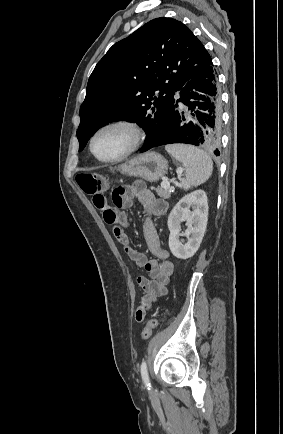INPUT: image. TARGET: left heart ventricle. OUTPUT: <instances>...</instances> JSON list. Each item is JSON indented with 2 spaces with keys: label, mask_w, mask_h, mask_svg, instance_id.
Returning a JSON list of instances; mask_svg holds the SVG:
<instances>
[{
  "label": "left heart ventricle",
  "mask_w": 283,
  "mask_h": 434,
  "mask_svg": "<svg viewBox=\"0 0 283 434\" xmlns=\"http://www.w3.org/2000/svg\"><path fill=\"white\" fill-rule=\"evenodd\" d=\"M130 145V135L123 128H110L101 132L94 141V151L102 158L122 154Z\"/></svg>",
  "instance_id": "b2bd125f"
}]
</instances>
